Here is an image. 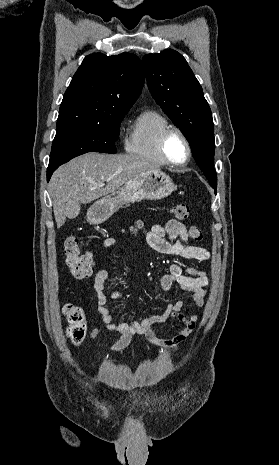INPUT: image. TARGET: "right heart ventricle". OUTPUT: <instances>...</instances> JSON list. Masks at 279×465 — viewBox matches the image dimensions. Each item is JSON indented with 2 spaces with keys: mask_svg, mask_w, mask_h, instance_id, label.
Here are the masks:
<instances>
[{
  "mask_svg": "<svg viewBox=\"0 0 279 465\" xmlns=\"http://www.w3.org/2000/svg\"><path fill=\"white\" fill-rule=\"evenodd\" d=\"M171 127L169 120L158 110L147 109L142 111L133 121L128 137L125 141V150L159 165H166L159 151V138L161 134Z\"/></svg>",
  "mask_w": 279,
  "mask_h": 465,
  "instance_id": "obj_1",
  "label": "right heart ventricle"
}]
</instances>
